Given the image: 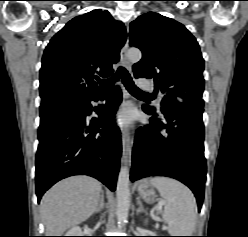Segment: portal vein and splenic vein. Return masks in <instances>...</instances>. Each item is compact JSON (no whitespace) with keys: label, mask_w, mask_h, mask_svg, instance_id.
<instances>
[{"label":"portal vein and splenic vein","mask_w":248,"mask_h":237,"mask_svg":"<svg viewBox=\"0 0 248 237\" xmlns=\"http://www.w3.org/2000/svg\"><path fill=\"white\" fill-rule=\"evenodd\" d=\"M162 205H163V203L162 202H159V204H158V210H161L162 209Z\"/></svg>","instance_id":"obj_1"}]
</instances>
